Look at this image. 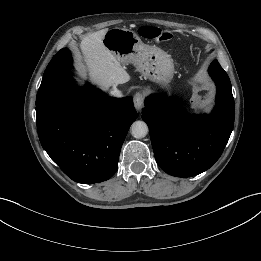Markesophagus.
Listing matches in <instances>:
<instances>
[{
  "label": "esophagus",
  "instance_id": "1",
  "mask_svg": "<svg viewBox=\"0 0 261 261\" xmlns=\"http://www.w3.org/2000/svg\"><path fill=\"white\" fill-rule=\"evenodd\" d=\"M145 96L138 92L134 95V107L137 111H141L144 107Z\"/></svg>",
  "mask_w": 261,
  "mask_h": 261
}]
</instances>
